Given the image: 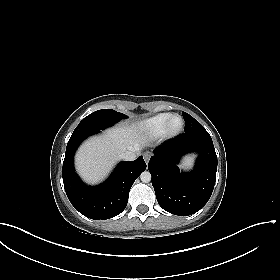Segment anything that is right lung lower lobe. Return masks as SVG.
<instances>
[{
    "label": "right lung lower lobe",
    "mask_w": 280,
    "mask_h": 280,
    "mask_svg": "<svg viewBox=\"0 0 280 280\" xmlns=\"http://www.w3.org/2000/svg\"><path fill=\"white\" fill-rule=\"evenodd\" d=\"M95 133L71 136L63 162V183L67 197L77 211L90 219L105 220L125 209L130 188L146 169V163L142 156L134 161L121 162L104 183L94 187L85 185L74 170L73 158L80 143Z\"/></svg>",
    "instance_id": "1"
}]
</instances>
